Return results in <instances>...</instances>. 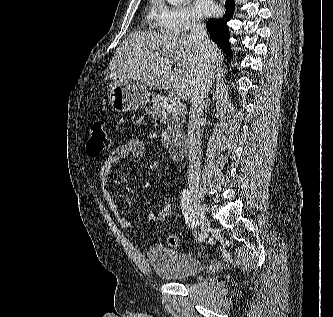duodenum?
Returning <instances> with one entry per match:
<instances>
[{
  "label": "duodenum",
  "instance_id": "duodenum-1",
  "mask_svg": "<svg viewBox=\"0 0 333 317\" xmlns=\"http://www.w3.org/2000/svg\"><path fill=\"white\" fill-rule=\"evenodd\" d=\"M188 150V139L185 135L175 138L169 146L170 157L179 161L182 160Z\"/></svg>",
  "mask_w": 333,
  "mask_h": 317
}]
</instances>
